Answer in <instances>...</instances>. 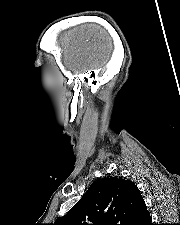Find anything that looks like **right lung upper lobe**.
Listing matches in <instances>:
<instances>
[{
  "instance_id": "right-lung-upper-lobe-1",
  "label": "right lung upper lobe",
  "mask_w": 180,
  "mask_h": 225,
  "mask_svg": "<svg viewBox=\"0 0 180 225\" xmlns=\"http://www.w3.org/2000/svg\"><path fill=\"white\" fill-rule=\"evenodd\" d=\"M151 217L130 180L108 177L93 182L84 196L53 225H149Z\"/></svg>"
}]
</instances>
